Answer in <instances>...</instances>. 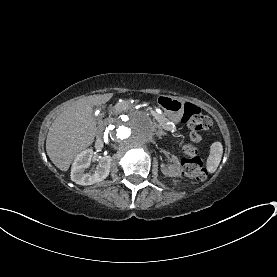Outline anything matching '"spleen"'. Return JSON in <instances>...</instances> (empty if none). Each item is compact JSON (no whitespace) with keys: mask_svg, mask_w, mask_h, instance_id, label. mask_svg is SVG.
Returning a JSON list of instances; mask_svg holds the SVG:
<instances>
[{"mask_svg":"<svg viewBox=\"0 0 277 277\" xmlns=\"http://www.w3.org/2000/svg\"><path fill=\"white\" fill-rule=\"evenodd\" d=\"M223 154V146L220 142H214L210 146V153L206 160V169L209 174L215 173Z\"/></svg>","mask_w":277,"mask_h":277,"instance_id":"obj_1","label":"spleen"}]
</instances>
